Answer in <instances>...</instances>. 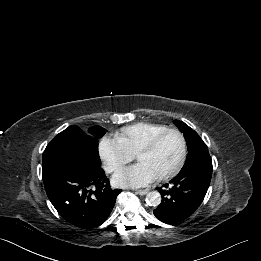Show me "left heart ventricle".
<instances>
[{
  "label": "left heart ventricle",
  "mask_w": 261,
  "mask_h": 261,
  "mask_svg": "<svg viewBox=\"0 0 261 261\" xmlns=\"http://www.w3.org/2000/svg\"><path fill=\"white\" fill-rule=\"evenodd\" d=\"M180 153V139L176 134L170 133L162 137L152 151L139 155L136 160L159 176L167 173L176 165Z\"/></svg>",
  "instance_id": "1"
}]
</instances>
